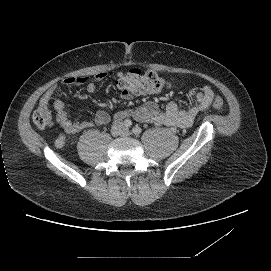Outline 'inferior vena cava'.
<instances>
[{
  "mask_svg": "<svg viewBox=\"0 0 271 271\" xmlns=\"http://www.w3.org/2000/svg\"><path fill=\"white\" fill-rule=\"evenodd\" d=\"M111 131L114 135L116 136H121L125 133L126 131V126L123 122L121 121H116L112 124L111 126Z\"/></svg>",
  "mask_w": 271,
  "mask_h": 271,
  "instance_id": "602c4592",
  "label": "inferior vena cava"
}]
</instances>
